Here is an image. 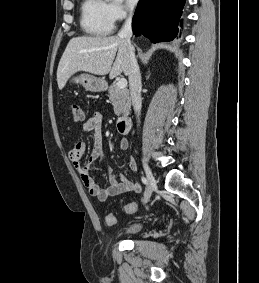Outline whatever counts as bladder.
Wrapping results in <instances>:
<instances>
[{
    "label": "bladder",
    "mask_w": 259,
    "mask_h": 283,
    "mask_svg": "<svg viewBox=\"0 0 259 283\" xmlns=\"http://www.w3.org/2000/svg\"><path fill=\"white\" fill-rule=\"evenodd\" d=\"M142 228H143L142 223H132V224L127 225L125 228H123L120 232V235L122 236L134 235L140 232Z\"/></svg>",
    "instance_id": "obj_1"
}]
</instances>
